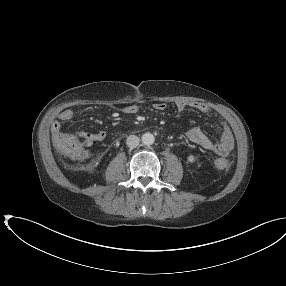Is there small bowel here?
Segmentation results:
<instances>
[{"label":"small bowel","mask_w":286,"mask_h":286,"mask_svg":"<svg viewBox=\"0 0 286 286\" xmlns=\"http://www.w3.org/2000/svg\"><path fill=\"white\" fill-rule=\"evenodd\" d=\"M153 108L156 111H164L167 108V105L163 102H157L153 104ZM187 108L194 109L201 113L211 115L210 108L202 103V102H183L178 101L175 104V109L177 112L181 113L185 111ZM139 110L137 104H130L124 107L123 111L126 114H136ZM74 117V111L70 108H66L62 110L59 115L58 119L62 122H68L72 120ZM60 121H54L51 125V133L54 137L57 133L62 132V124ZM219 124L222 129L221 138L218 142L213 141L210 139L206 134L202 132V130L198 127H193L189 129L186 133L187 139L192 142L193 144L199 146L202 149L212 151L220 156H227L234 148V137L229 125L224 121H219ZM85 137V144L87 146H92L96 142H101L105 140L107 134L105 131H97V132H80Z\"/></svg>","instance_id":"small-bowel-1"}]
</instances>
